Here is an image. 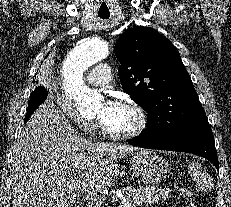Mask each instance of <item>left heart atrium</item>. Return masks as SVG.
<instances>
[{"mask_svg":"<svg viewBox=\"0 0 231 207\" xmlns=\"http://www.w3.org/2000/svg\"><path fill=\"white\" fill-rule=\"evenodd\" d=\"M116 102L112 101V100H108L104 103V107L102 109V112L99 115V118L102 121H105L109 115L111 114V112L113 111L114 107H115Z\"/></svg>","mask_w":231,"mask_h":207,"instance_id":"39dd6f15","label":"left heart atrium"}]
</instances>
